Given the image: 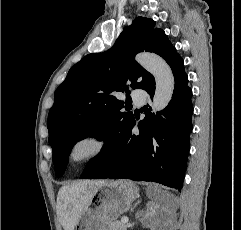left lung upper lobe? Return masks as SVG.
<instances>
[{
	"instance_id": "1",
	"label": "left lung upper lobe",
	"mask_w": 241,
	"mask_h": 230,
	"mask_svg": "<svg viewBox=\"0 0 241 230\" xmlns=\"http://www.w3.org/2000/svg\"><path fill=\"white\" fill-rule=\"evenodd\" d=\"M155 21L136 18L123 29L108 51L86 55L68 72L54 93L47 127L53 150L57 177L65 172L68 156L77 141L86 137L113 141L133 121L126 102L118 100L117 92L146 89L154 77L135 60L143 51L160 55L168 64L177 55L164 31L155 28Z\"/></svg>"
}]
</instances>
